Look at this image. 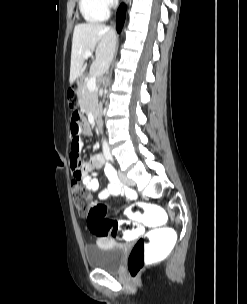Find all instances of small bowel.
I'll return each mask as SVG.
<instances>
[{
  "label": "small bowel",
  "instance_id": "1",
  "mask_svg": "<svg viewBox=\"0 0 247 304\" xmlns=\"http://www.w3.org/2000/svg\"><path fill=\"white\" fill-rule=\"evenodd\" d=\"M70 122V152L69 159L71 162V169L75 180L80 181L83 187L90 192H96L99 189V181L96 176V171L104 166L105 174L109 180L106 188L101 190L98 194L100 200H106L110 196L124 195L128 199L135 198L134 191L124 188L118 181L114 168L105 164V159L102 155H94L88 161L83 162V150L81 138L84 135H90L91 130L88 123L82 120V112H71Z\"/></svg>",
  "mask_w": 247,
  "mask_h": 304
}]
</instances>
